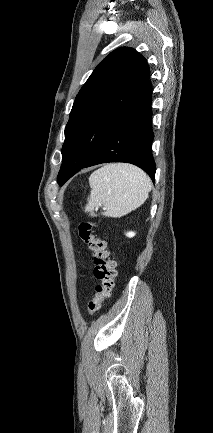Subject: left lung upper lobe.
I'll use <instances>...</instances> for the list:
<instances>
[{
  "instance_id": "obj_1",
  "label": "left lung upper lobe",
  "mask_w": 213,
  "mask_h": 433,
  "mask_svg": "<svg viewBox=\"0 0 213 433\" xmlns=\"http://www.w3.org/2000/svg\"><path fill=\"white\" fill-rule=\"evenodd\" d=\"M149 75L146 59L133 48L120 47L99 63L77 94L65 127L59 185L94 156Z\"/></svg>"
}]
</instances>
